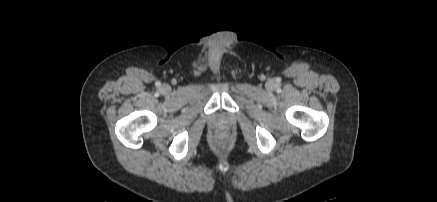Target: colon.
I'll return each mask as SVG.
<instances>
[{
  "label": "colon",
  "instance_id": "5ec220e1",
  "mask_svg": "<svg viewBox=\"0 0 437 202\" xmlns=\"http://www.w3.org/2000/svg\"><path fill=\"white\" fill-rule=\"evenodd\" d=\"M218 141L220 144H224L226 142V136L223 133L218 135Z\"/></svg>",
  "mask_w": 437,
  "mask_h": 202
}]
</instances>
